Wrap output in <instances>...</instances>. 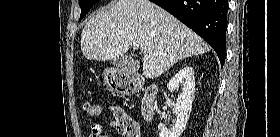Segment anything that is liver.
I'll return each mask as SVG.
<instances>
[{"instance_id":"obj_1","label":"liver","mask_w":280,"mask_h":137,"mask_svg":"<svg viewBox=\"0 0 280 137\" xmlns=\"http://www.w3.org/2000/svg\"><path fill=\"white\" fill-rule=\"evenodd\" d=\"M139 44L143 75L154 79L177 61L206 53L208 44L173 15L149 0H117L89 19L81 50L89 60L124 56Z\"/></svg>"}]
</instances>
